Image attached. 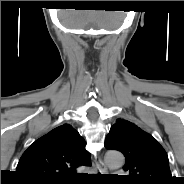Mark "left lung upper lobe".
<instances>
[{
  "label": "left lung upper lobe",
  "instance_id": "obj_1",
  "mask_svg": "<svg viewBox=\"0 0 184 184\" xmlns=\"http://www.w3.org/2000/svg\"><path fill=\"white\" fill-rule=\"evenodd\" d=\"M107 149L125 155L126 179L132 184H171L168 156L156 139L134 123L117 119L105 140Z\"/></svg>",
  "mask_w": 184,
  "mask_h": 184
}]
</instances>
